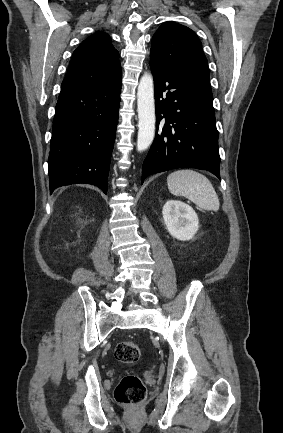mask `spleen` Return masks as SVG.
<instances>
[{
  "mask_svg": "<svg viewBox=\"0 0 283 433\" xmlns=\"http://www.w3.org/2000/svg\"><path fill=\"white\" fill-rule=\"evenodd\" d=\"M171 194L186 196L204 210H218L219 198L208 178L196 170H175L167 176Z\"/></svg>",
  "mask_w": 283,
  "mask_h": 433,
  "instance_id": "spleen-1",
  "label": "spleen"
}]
</instances>
